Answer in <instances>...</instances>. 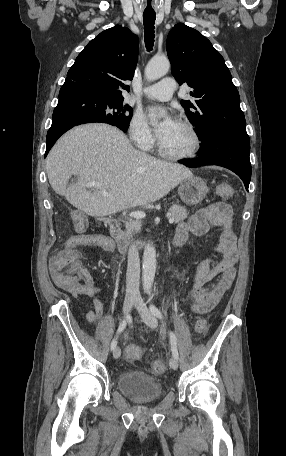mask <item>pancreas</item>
Wrapping results in <instances>:
<instances>
[{"instance_id":"pancreas-1","label":"pancreas","mask_w":286,"mask_h":456,"mask_svg":"<svg viewBox=\"0 0 286 456\" xmlns=\"http://www.w3.org/2000/svg\"><path fill=\"white\" fill-rule=\"evenodd\" d=\"M169 213L172 218H174V222L178 223L187 218V210L185 207L180 205H172L169 209ZM142 223L138 219H133L126 222V230L122 232V236L124 239H130L134 233H138L141 229Z\"/></svg>"}]
</instances>
